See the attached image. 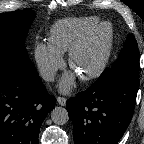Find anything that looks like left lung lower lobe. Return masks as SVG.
<instances>
[{"instance_id": "1", "label": "left lung lower lobe", "mask_w": 144, "mask_h": 144, "mask_svg": "<svg viewBox=\"0 0 144 144\" xmlns=\"http://www.w3.org/2000/svg\"><path fill=\"white\" fill-rule=\"evenodd\" d=\"M140 81L94 85L67 101L75 144H116L133 116Z\"/></svg>"}]
</instances>
